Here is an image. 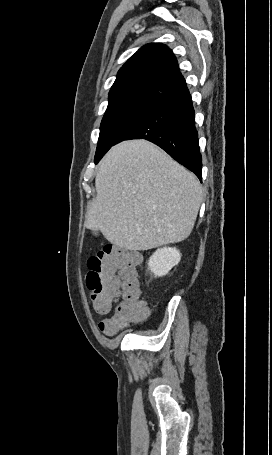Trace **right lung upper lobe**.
<instances>
[{"mask_svg": "<svg viewBox=\"0 0 272 455\" xmlns=\"http://www.w3.org/2000/svg\"><path fill=\"white\" fill-rule=\"evenodd\" d=\"M188 91L172 51L163 44L141 47L118 71L109 92V104L131 98L163 103Z\"/></svg>", "mask_w": 272, "mask_h": 455, "instance_id": "cb5924a9", "label": "right lung upper lobe"}]
</instances>
